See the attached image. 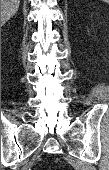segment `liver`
<instances>
[{"label":"liver","mask_w":109,"mask_h":170,"mask_svg":"<svg viewBox=\"0 0 109 170\" xmlns=\"http://www.w3.org/2000/svg\"><path fill=\"white\" fill-rule=\"evenodd\" d=\"M20 0H1V24L4 25L18 11Z\"/></svg>","instance_id":"obj_1"}]
</instances>
